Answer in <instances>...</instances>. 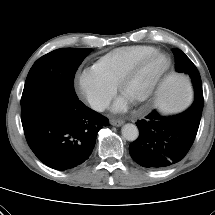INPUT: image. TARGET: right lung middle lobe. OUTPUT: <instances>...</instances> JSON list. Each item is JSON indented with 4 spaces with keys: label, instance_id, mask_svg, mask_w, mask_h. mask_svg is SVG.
Segmentation results:
<instances>
[{
    "label": "right lung middle lobe",
    "instance_id": "1",
    "mask_svg": "<svg viewBox=\"0 0 215 215\" xmlns=\"http://www.w3.org/2000/svg\"><path fill=\"white\" fill-rule=\"evenodd\" d=\"M91 51L90 48L57 49L34 63L21 98L23 127L32 123L60 99L75 98V72Z\"/></svg>",
    "mask_w": 215,
    "mask_h": 215
}]
</instances>
